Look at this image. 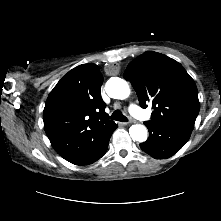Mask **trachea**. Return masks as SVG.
I'll use <instances>...</instances> for the list:
<instances>
[{
	"label": "trachea",
	"instance_id": "3493384b",
	"mask_svg": "<svg viewBox=\"0 0 221 221\" xmlns=\"http://www.w3.org/2000/svg\"><path fill=\"white\" fill-rule=\"evenodd\" d=\"M110 119L112 120H116V121H121V122H125L128 121V119L122 114L121 111L116 110L112 113Z\"/></svg>",
	"mask_w": 221,
	"mask_h": 221
}]
</instances>
